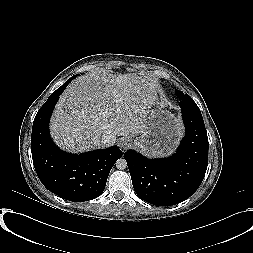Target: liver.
I'll list each match as a JSON object with an SVG mask.
<instances>
[{
  "label": "liver",
  "instance_id": "1",
  "mask_svg": "<svg viewBox=\"0 0 253 253\" xmlns=\"http://www.w3.org/2000/svg\"><path fill=\"white\" fill-rule=\"evenodd\" d=\"M157 100L155 84L135 73L92 72L76 78L62 94L51 119L56 143L71 152L102 147L100 139L141 133L147 111Z\"/></svg>",
  "mask_w": 253,
  "mask_h": 253
}]
</instances>
